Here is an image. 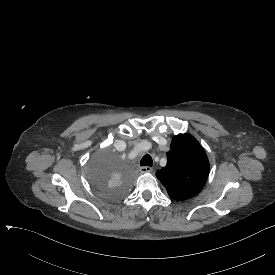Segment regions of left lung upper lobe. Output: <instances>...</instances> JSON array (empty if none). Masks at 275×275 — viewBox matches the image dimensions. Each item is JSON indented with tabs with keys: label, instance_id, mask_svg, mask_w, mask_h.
Wrapping results in <instances>:
<instances>
[{
	"label": "left lung upper lobe",
	"instance_id": "left-lung-upper-lobe-1",
	"mask_svg": "<svg viewBox=\"0 0 275 275\" xmlns=\"http://www.w3.org/2000/svg\"><path fill=\"white\" fill-rule=\"evenodd\" d=\"M209 173L208 158L190 134L174 136L167 152V165L156 172L169 196L177 201L197 195Z\"/></svg>",
	"mask_w": 275,
	"mask_h": 275
}]
</instances>
